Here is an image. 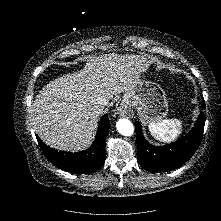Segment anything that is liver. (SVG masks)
Segmentation results:
<instances>
[{"label":"liver","mask_w":221,"mask_h":221,"mask_svg":"<svg viewBox=\"0 0 221 221\" xmlns=\"http://www.w3.org/2000/svg\"><path fill=\"white\" fill-rule=\"evenodd\" d=\"M148 66L144 57L132 54L89 58L82 70L63 75L40 90L30 110L34 130L52 148L85 149L104 109L97 98L109 103L114 95L129 91Z\"/></svg>","instance_id":"1"}]
</instances>
